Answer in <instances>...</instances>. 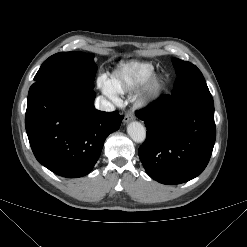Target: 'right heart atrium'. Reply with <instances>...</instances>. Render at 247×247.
Segmentation results:
<instances>
[{
	"label": "right heart atrium",
	"instance_id": "right-heart-atrium-1",
	"mask_svg": "<svg viewBox=\"0 0 247 247\" xmlns=\"http://www.w3.org/2000/svg\"><path fill=\"white\" fill-rule=\"evenodd\" d=\"M98 84L101 90L104 92V94H106L108 97H110L113 100H117L116 93L112 91L108 79L104 75L98 78Z\"/></svg>",
	"mask_w": 247,
	"mask_h": 247
}]
</instances>
